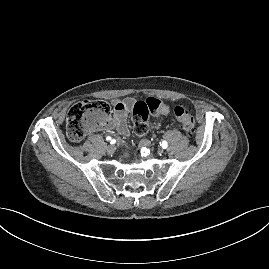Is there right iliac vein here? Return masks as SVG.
<instances>
[{"instance_id":"1","label":"right iliac vein","mask_w":269,"mask_h":269,"mask_svg":"<svg viewBox=\"0 0 269 269\" xmlns=\"http://www.w3.org/2000/svg\"><path fill=\"white\" fill-rule=\"evenodd\" d=\"M106 151L109 153V154H112L115 152V147L113 145H108L106 146Z\"/></svg>"}]
</instances>
